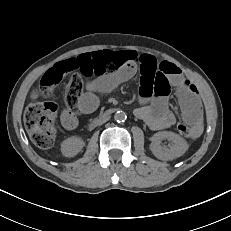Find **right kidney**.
Instances as JSON below:
<instances>
[{"label": "right kidney", "instance_id": "1", "mask_svg": "<svg viewBox=\"0 0 231 231\" xmlns=\"http://www.w3.org/2000/svg\"><path fill=\"white\" fill-rule=\"evenodd\" d=\"M83 147V139L78 136H72L63 141L61 151L65 157H73L77 155Z\"/></svg>", "mask_w": 231, "mask_h": 231}]
</instances>
